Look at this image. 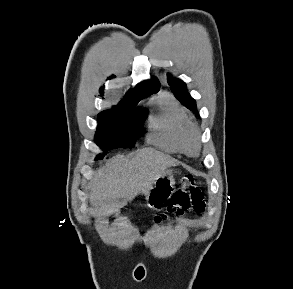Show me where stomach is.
Listing matches in <instances>:
<instances>
[{
  "mask_svg": "<svg viewBox=\"0 0 293 289\" xmlns=\"http://www.w3.org/2000/svg\"><path fill=\"white\" fill-rule=\"evenodd\" d=\"M175 189V180L172 171L166 173L158 178L151 190L146 195L147 206L151 209H158L165 202L170 199Z\"/></svg>",
  "mask_w": 293,
  "mask_h": 289,
  "instance_id": "obj_1",
  "label": "stomach"
}]
</instances>
